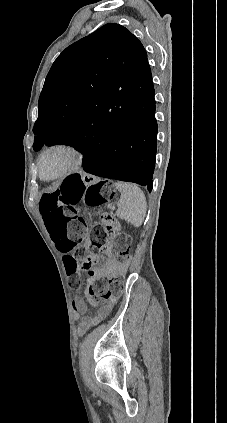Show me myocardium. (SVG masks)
<instances>
[{
    "label": "myocardium",
    "instance_id": "obj_1",
    "mask_svg": "<svg viewBox=\"0 0 227 423\" xmlns=\"http://www.w3.org/2000/svg\"><path fill=\"white\" fill-rule=\"evenodd\" d=\"M54 150H61V151L67 152L70 155L71 160L69 164L67 165V167L63 171H61L59 174L51 178H45L43 175V160L48 153ZM84 162H85V154L82 151V149H80L77 145L73 143H68V142L55 143L46 147L40 153L38 158V172L40 177L43 180L50 182V181L63 179L73 175L74 173L78 172L83 167Z\"/></svg>",
    "mask_w": 227,
    "mask_h": 423
}]
</instances>
